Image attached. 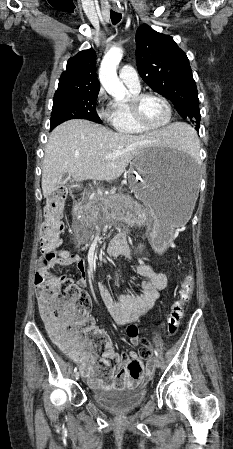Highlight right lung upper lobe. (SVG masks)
Instances as JSON below:
<instances>
[{"label": "right lung upper lobe", "mask_w": 233, "mask_h": 449, "mask_svg": "<svg viewBox=\"0 0 233 449\" xmlns=\"http://www.w3.org/2000/svg\"><path fill=\"white\" fill-rule=\"evenodd\" d=\"M95 67L96 54L93 49L79 52L67 62L55 95L99 92L100 83L95 75Z\"/></svg>", "instance_id": "1"}]
</instances>
